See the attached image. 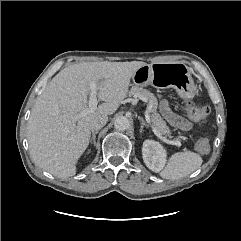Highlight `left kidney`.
<instances>
[{"label":"left kidney","instance_id":"left-kidney-1","mask_svg":"<svg viewBox=\"0 0 241 241\" xmlns=\"http://www.w3.org/2000/svg\"><path fill=\"white\" fill-rule=\"evenodd\" d=\"M142 156L146 166L153 172H160L166 163V150L154 140H145L142 147Z\"/></svg>","mask_w":241,"mask_h":241}]
</instances>
